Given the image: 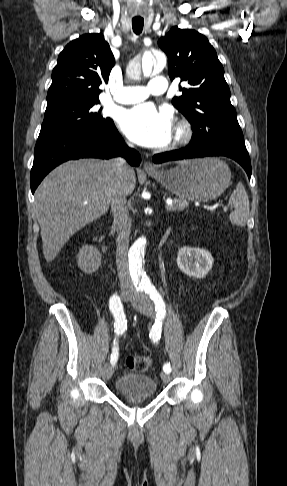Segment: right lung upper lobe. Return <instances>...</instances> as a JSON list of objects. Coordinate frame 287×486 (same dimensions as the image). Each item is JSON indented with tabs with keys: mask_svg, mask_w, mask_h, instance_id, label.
Instances as JSON below:
<instances>
[{
	"mask_svg": "<svg viewBox=\"0 0 287 486\" xmlns=\"http://www.w3.org/2000/svg\"><path fill=\"white\" fill-rule=\"evenodd\" d=\"M115 64L101 33L85 34L71 41L59 54L47 94V107L99 99V85L107 83Z\"/></svg>",
	"mask_w": 287,
	"mask_h": 486,
	"instance_id": "cb5924a9",
	"label": "right lung upper lobe"
}]
</instances>
